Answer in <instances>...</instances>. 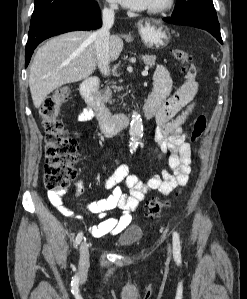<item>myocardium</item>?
<instances>
[{
	"mask_svg": "<svg viewBox=\"0 0 247 299\" xmlns=\"http://www.w3.org/2000/svg\"><path fill=\"white\" fill-rule=\"evenodd\" d=\"M173 0H155L148 7L150 13H160L171 7Z\"/></svg>",
	"mask_w": 247,
	"mask_h": 299,
	"instance_id": "obj_1",
	"label": "myocardium"
}]
</instances>
